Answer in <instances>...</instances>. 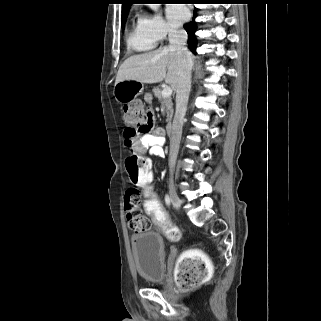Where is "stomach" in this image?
Listing matches in <instances>:
<instances>
[{
	"label": "stomach",
	"instance_id": "stomach-1",
	"mask_svg": "<svg viewBox=\"0 0 321 321\" xmlns=\"http://www.w3.org/2000/svg\"><path fill=\"white\" fill-rule=\"evenodd\" d=\"M143 88V83L133 80H124L115 84L114 96L119 103L125 104L140 95Z\"/></svg>",
	"mask_w": 321,
	"mask_h": 321
}]
</instances>
